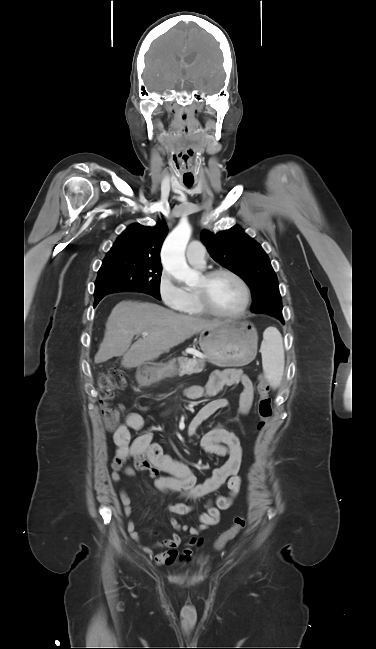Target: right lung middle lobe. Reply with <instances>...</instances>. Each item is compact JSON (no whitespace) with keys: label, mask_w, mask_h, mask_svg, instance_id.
<instances>
[{"label":"right lung middle lobe","mask_w":376,"mask_h":649,"mask_svg":"<svg viewBox=\"0 0 376 649\" xmlns=\"http://www.w3.org/2000/svg\"><path fill=\"white\" fill-rule=\"evenodd\" d=\"M161 264L136 255H109L103 260L95 282V305L107 294L137 291L160 296Z\"/></svg>","instance_id":"1"}]
</instances>
